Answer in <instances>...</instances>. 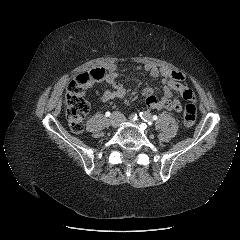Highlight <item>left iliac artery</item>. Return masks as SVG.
Segmentation results:
<instances>
[{
    "label": "left iliac artery",
    "instance_id": "44dca946",
    "mask_svg": "<svg viewBox=\"0 0 240 240\" xmlns=\"http://www.w3.org/2000/svg\"><path fill=\"white\" fill-rule=\"evenodd\" d=\"M140 118L146 122L148 125H152V119H151V114L148 112H140L139 113Z\"/></svg>",
    "mask_w": 240,
    "mask_h": 240
}]
</instances>
